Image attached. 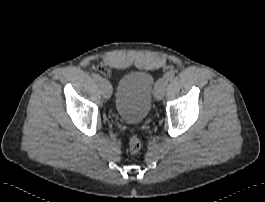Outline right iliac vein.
Masks as SVG:
<instances>
[{"label": "right iliac vein", "mask_w": 265, "mask_h": 202, "mask_svg": "<svg viewBox=\"0 0 265 202\" xmlns=\"http://www.w3.org/2000/svg\"><path fill=\"white\" fill-rule=\"evenodd\" d=\"M99 86H100V89H101V92H102V96L104 98H109L111 96V93H112L111 84L107 80L101 79L99 81Z\"/></svg>", "instance_id": "1"}]
</instances>
